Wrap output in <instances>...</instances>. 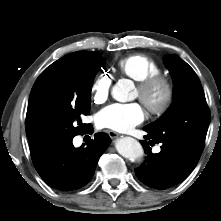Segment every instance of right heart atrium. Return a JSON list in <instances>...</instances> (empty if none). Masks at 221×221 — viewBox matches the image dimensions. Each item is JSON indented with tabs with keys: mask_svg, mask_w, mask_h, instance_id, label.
Returning a JSON list of instances; mask_svg holds the SVG:
<instances>
[{
	"mask_svg": "<svg viewBox=\"0 0 221 221\" xmlns=\"http://www.w3.org/2000/svg\"><path fill=\"white\" fill-rule=\"evenodd\" d=\"M111 89V78L108 74L98 75L91 84L90 92L92 101L95 104H102L107 101Z\"/></svg>",
	"mask_w": 221,
	"mask_h": 221,
	"instance_id": "1",
	"label": "right heart atrium"
}]
</instances>
